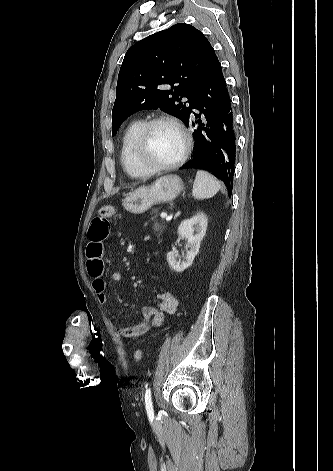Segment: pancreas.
Returning <instances> with one entry per match:
<instances>
[{
    "label": "pancreas",
    "mask_w": 333,
    "mask_h": 471,
    "mask_svg": "<svg viewBox=\"0 0 333 471\" xmlns=\"http://www.w3.org/2000/svg\"><path fill=\"white\" fill-rule=\"evenodd\" d=\"M151 220L153 221L152 224V229L157 232V234H161L162 231L166 228V225L164 222H159L156 219V216L151 217Z\"/></svg>",
    "instance_id": "1"
}]
</instances>
